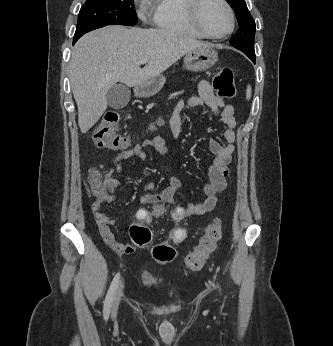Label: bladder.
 <instances>
[{"label": "bladder", "instance_id": "obj_1", "mask_svg": "<svg viewBox=\"0 0 333 346\" xmlns=\"http://www.w3.org/2000/svg\"><path fill=\"white\" fill-rule=\"evenodd\" d=\"M141 284L146 288H152L157 285V281L153 274L148 270L144 269L141 274Z\"/></svg>", "mask_w": 333, "mask_h": 346}]
</instances>
